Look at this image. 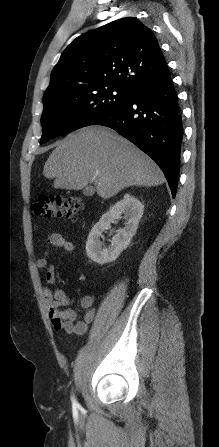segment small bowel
Segmentation results:
<instances>
[{"mask_svg":"<svg viewBox=\"0 0 219 447\" xmlns=\"http://www.w3.org/2000/svg\"><path fill=\"white\" fill-rule=\"evenodd\" d=\"M50 248L46 250L43 257L37 261L38 268L45 269V280L48 284L56 285V275L50 267L49 256L52 248L62 249L67 253L75 250L73 242L66 240L59 233H52L48 237ZM44 304L48 313V317L52 328L55 331H65L71 334H83L86 332L88 325L94 319V310L92 308L94 298L91 295H85L81 298L79 309L67 308L61 310L62 306H68L71 299L65 290L55 287L54 290L45 288ZM83 311L82 320H78L80 311Z\"/></svg>","mask_w":219,"mask_h":447,"instance_id":"small-bowel-1","label":"small bowel"}]
</instances>
